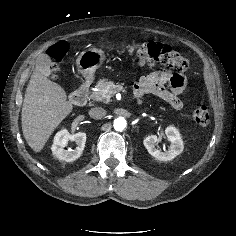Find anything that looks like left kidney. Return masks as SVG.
I'll list each match as a JSON object with an SVG mask.
<instances>
[{
  "mask_svg": "<svg viewBox=\"0 0 236 236\" xmlns=\"http://www.w3.org/2000/svg\"><path fill=\"white\" fill-rule=\"evenodd\" d=\"M165 134L168 140L171 142L170 148L167 151H161L155 147V144L158 140L156 135L147 136L143 141L144 146L149 154L162 161L174 159L176 156L181 154L184 149V144L180 133L175 127H167L165 129Z\"/></svg>",
  "mask_w": 236,
  "mask_h": 236,
  "instance_id": "left-kidney-1",
  "label": "left kidney"
}]
</instances>
